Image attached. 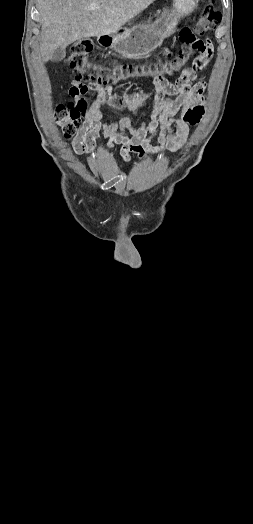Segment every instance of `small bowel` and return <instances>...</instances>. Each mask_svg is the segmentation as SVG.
I'll list each match as a JSON object with an SVG mask.
<instances>
[{
	"label": "small bowel",
	"mask_w": 253,
	"mask_h": 524,
	"mask_svg": "<svg viewBox=\"0 0 253 524\" xmlns=\"http://www.w3.org/2000/svg\"><path fill=\"white\" fill-rule=\"evenodd\" d=\"M182 44H190L189 50L193 53L189 58L193 60L192 68H180V76L174 83L172 77L153 73L151 87L137 93L115 94L111 87L96 91V97L91 101L84 124L79 134L72 140V149L78 154L91 156L96 149L98 137L101 140L108 138L107 149L121 145L120 155L126 162L131 160L132 154L139 159L145 158L148 153L158 154L164 150L176 152L183 148L189 134L190 123L186 117L188 111L200 105L204 99V84L193 81L196 71L202 69L210 60L211 53L216 46L210 42L211 38H202L191 30L190 25L183 24L178 33ZM169 60L174 58L172 53L167 55ZM174 83V84H173ZM84 95L90 86L83 85ZM91 89V88H90ZM93 90V89H92ZM176 95L175 99L166 98V95ZM73 97L78 95L76 90L71 92ZM153 99L150 117L134 127L131 119L123 116L116 121H104L102 107L109 105L115 109L128 108L135 116L139 108ZM159 129V132H158ZM158 132V144L153 146L150 140ZM130 134V137L127 136Z\"/></svg>",
	"instance_id": "c3829d8e"
}]
</instances>
